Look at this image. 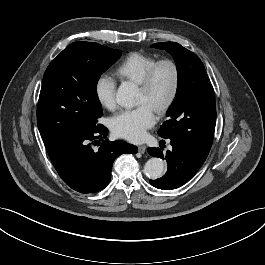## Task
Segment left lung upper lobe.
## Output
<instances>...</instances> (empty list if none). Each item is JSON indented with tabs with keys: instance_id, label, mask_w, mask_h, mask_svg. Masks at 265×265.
Returning a JSON list of instances; mask_svg holds the SVG:
<instances>
[{
	"instance_id": "left-lung-upper-lobe-1",
	"label": "left lung upper lobe",
	"mask_w": 265,
	"mask_h": 265,
	"mask_svg": "<svg viewBox=\"0 0 265 265\" xmlns=\"http://www.w3.org/2000/svg\"><path fill=\"white\" fill-rule=\"evenodd\" d=\"M151 47L169 52L178 73L177 93L158 135L182 142L206 159L213 142L216 106L214 89L204 65L194 53L178 43H155Z\"/></svg>"
}]
</instances>
